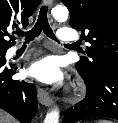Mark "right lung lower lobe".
<instances>
[{
  "label": "right lung lower lobe",
  "instance_id": "obj_1",
  "mask_svg": "<svg viewBox=\"0 0 118 123\" xmlns=\"http://www.w3.org/2000/svg\"><path fill=\"white\" fill-rule=\"evenodd\" d=\"M5 62H0V108L21 123H30L37 110L36 88L33 84L12 80L17 68L6 67Z\"/></svg>",
  "mask_w": 118,
  "mask_h": 123
}]
</instances>
